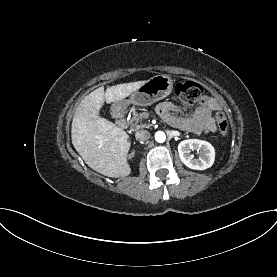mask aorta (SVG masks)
Wrapping results in <instances>:
<instances>
[{
    "label": "aorta",
    "instance_id": "obj_1",
    "mask_svg": "<svg viewBox=\"0 0 277 277\" xmlns=\"http://www.w3.org/2000/svg\"><path fill=\"white\" fill-rule=\"evenodd\" d=\"M155 140L158 142V143H163L165 140H166V135L164 132L162 131H158L155 133Z\"/></svg>",
    "mask_w": 277,
    "mask_h": 277
}]
</instances>
